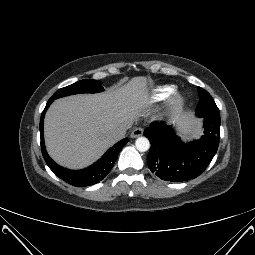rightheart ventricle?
<instances>
[{
	"label": "right heart ventricle",
	"instance_id": "right-heart-ventricle-1",
	"mask_svg": "<svg viewBox=\"0 0 255 255\" xmlns=\"http://www.w3.org/2000/svg\"><path fill=\"white\" fill-rule=\"evenodd\" d=\"M173 92L174 88L172 86L160 87L155 91L153 98L156 101L164 100L169 98Z\"/></svg>",
	"mask_w": 255,
	"mask_h": 255
}]
</instances>
